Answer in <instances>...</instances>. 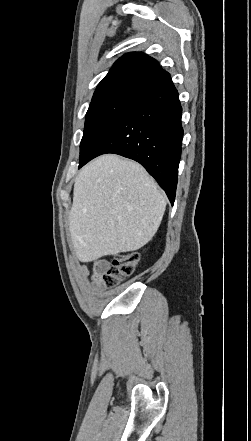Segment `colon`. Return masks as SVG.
I'll list each match as a JSON object with an SVG mask.
<instances>
[{
	"label": "colon",
	"mask_w": 251,
	"mask_h": 441,
	"mask_svg": "<svg viewBox=\"0 0 251 441\" xmlns=\"http://www.w3.org/2000/svg\"><path fill=\"white\" fill-rule=\"evenodd\" d=\"M139 262V254L135 251L122 252L115 255L102 275L106 287H113L129 277Z\"/></svg>",
	"instance_id": "obj_1"
}]
</instances>
